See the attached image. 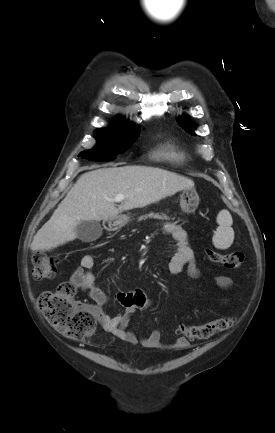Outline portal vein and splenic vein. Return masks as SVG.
Instances as JSON below:
<instances>
[{"label":"portal vein and splenic vein","instance_id":"18ae733b","mask_svg":"<svg viewBox=\"0 0 275 433\" xmlns=\"http://www.w3.org/2000/svg\"><path fill=\"white\" fill-rule=\"evenodd\" d=\"M124 199H125L124 195L119 194L116 195L113 199H110V201L119 203L122 202Z\"/></svg>","mask_w":275,"mask_h":433}]
</instances>
